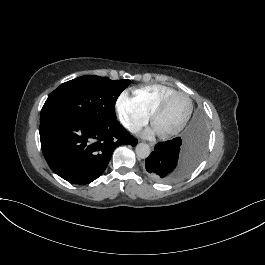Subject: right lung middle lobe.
Listing matches in <instances>:
<instances>
[{"mask_svg": "<svg viewBox=\"0 0 265 265\" xmlns=\"http://www.w3.org/2000/svg\"><path fill=\"white\" fill-rule=\"evenodd\" d=\"M130 80L86 75L61 84L47 98L40 123L59 116L72 115L97 122L116 121L115 103Z\"/></svg>", "mask_w": 265, "mask_h": 265, "instance_id": "dd1d6c3e", "label": "right lung middle lobe"}]
</instances>
